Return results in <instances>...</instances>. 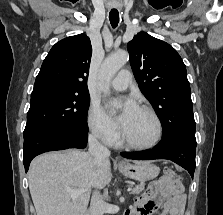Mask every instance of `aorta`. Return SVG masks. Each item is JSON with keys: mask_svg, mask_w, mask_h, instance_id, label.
I'll use <instances>...</instances> for the list:
<instances>
[{"mask_svg": "<svg viewBox=\"0 0 223 215\" xmlns=\"http://www.w3.org/2000/svg\"><path fill=\"white\" fill-rule=\"evenodd\" d=\"M129 60L128 52L125 50H117L108 58H105L99 72L101 86H99L100 92L103 94H110V82L113 80L118 70L125 66Z\"/></svg>", "mask_w": 223, "mask_h": 215, "instance_id": "obj_1", "label": "aorta"}]
</instances>
